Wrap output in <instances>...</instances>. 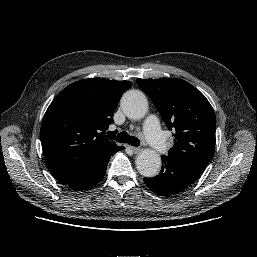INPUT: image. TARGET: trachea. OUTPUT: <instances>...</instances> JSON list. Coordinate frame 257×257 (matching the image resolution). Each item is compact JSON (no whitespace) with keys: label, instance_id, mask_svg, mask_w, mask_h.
Listing matches in <instances>:
<instances>
[{"label":"trachea","instance_id":"trachea-1","mask_svg":"<svg viewBox=\"0 0 257 257\" xmlns=\"http://www.w3.org/2000/svg\"><path fill=\"white\" fill-rule=\"evenodd\" d=\"M115 140L117 142H120V143H128L129 145H132V146H139L140 145V140L137 137L130 136L128 133H126L124 131L119 133L115 137Z\"/></svg>","mask_w":257,"mask_h":257}]
</instances>
